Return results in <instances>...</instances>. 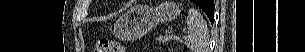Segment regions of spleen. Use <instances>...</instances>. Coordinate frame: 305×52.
I'll return each mask as SVG.
<instances>
[{
  "label": "spleen",
  "instance_id": "spleen-1",
  "mask_svg": "<svg viewBox=\"0 0 305 52\" xmlns=\"http://www.w3.org/2000/svg\"><path fill=\"white\" fill-rule=\"evenodd\" d=\"M188 35L185 44L192 52H209V31L203 16L196 9H189Z\"/></svg>",
  "mask_w": 305,
  "mask_h": 52
}]
</instances>
